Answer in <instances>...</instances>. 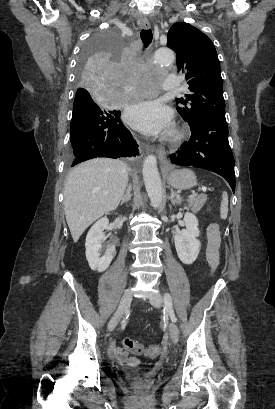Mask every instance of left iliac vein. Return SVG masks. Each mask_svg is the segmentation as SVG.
I'll return each instance as SVG.
<instances>
[{
  "mask_svg": "<svg viewBox=\"0 0 275 409\" xmlns=\"http://www.w3.org/2000/svg\"><path fill=\"white\" fill-rule=\"evenodd\" d=\"M149 302L155 307L160 308L163 304V298L160 294H153L149 297ZM168 331L173 343H177L179 339V329L175 322H170Z\"/></svg>",
  "mask_w": 275,
  "mask_h": 409,
  "instance_id": "1",
  "label": "left iliac vein"
}]
</instances>
